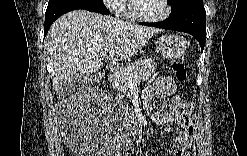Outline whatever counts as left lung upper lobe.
<instances>
[{"mask_svg":"<svg viewBox=\"0 0 247 156\" xmlns=\"http://www.w3.org/2000/svg\"><path fill=\"white\" fill-rule=\"evenodd\" d=\"M194 0H171V14L170 16L176 15L180 12H182L185 7L193 2Z\"/></svg>","mask_w":247,"mask_h":156,"instance_id":"obj_1","label":"left lung upper lobe"}]
</instances>
